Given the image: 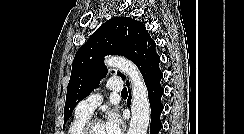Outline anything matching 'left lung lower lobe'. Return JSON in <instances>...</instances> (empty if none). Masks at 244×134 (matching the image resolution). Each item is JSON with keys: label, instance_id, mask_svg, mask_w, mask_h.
<instances>
[{"label": "left lung lower lobe", "instance_id": "obj_1", "mask_svg": "<svg viewBox=\"0 0 244 134\" xmlns=\"http://www.w3.org/2000/svg\"><path fill=\"white\" fill-rule=\"evenodd\" d=\"M162 75V73L152 75L145 83L147 86L148 97L151 106L150 134H158L162 128V123L160 120V115L163 111V104L161 102L163 88L160 84ZM130 98L131 97L128 98L127 103L130 102Z\"/></svg>", "mask_w": 244, "mask_h": 134}]
</instances>
